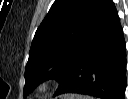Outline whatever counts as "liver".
<instances>
[{
  "label": "liver",
  "instance_id": "obj_1",
  "mask_svg": "<svg viewBox=\"0 0 128 99\" xmlns=\"http://www.w3.org/2000/svg\"><path fill=\"white\" fill-rule=\"evenodd\" d=\"M78 97H80V96H78V95H66V96H64L65 99H79Z\"/></svg>",
  "mask_w": 128,
  "mask_h": 99
}]
</instances>
